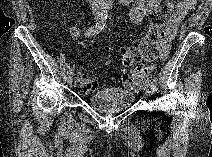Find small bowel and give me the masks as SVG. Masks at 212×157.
<instances>
[{
  "instance_id": "small-bowel-1",
  "label": "small bowel",
  "mask_w": 212,
  "mask_h": 157,
  "mask_svg": "<svg viewBox=\"0 0 212 157\" xmlns=\"http://www.w3.org/2000/svg\"><path fill=\"white\" fill-rule=\"evenodd\" d=\"M124 3L130 6V16L132 21L135 23L142 22L145 16L151 11L154 6L153 0H125ZM195 5V0H181L178 2L176 10L170 17L168 24L164 30L168 34V37H164L161 42L160 55L158 56L159 62H163L166 60L169 54L170 41L174 38L178 27L182 23L185 16L188 14L189 11L195 8ZM81 47L86 48L84 44H81ZM153 67L154 66L140 67L139 69H137L138 75L135 78L126 80L122 77L123 87L126 90H139L142 81L147 77L148 72L152 70Z\"/></svg>"
}]
</instances>
